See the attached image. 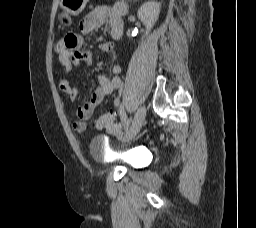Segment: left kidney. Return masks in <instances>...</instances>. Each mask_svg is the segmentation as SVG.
I'll return each instance as SVG.
<instances>
[{
	"label": "left kidney",
	"instance_id": "obj_1",
	"mask_svg": "<svg viewBox=\"0 0 256 228\" xmlns=\"http://www.w3.org/2000/svg\"><path fill=\"white\" fill-rule=\"evenodd\" d=\"M161 4L155 1L145 2L138 10V18L146 27L147 35L158 20Z\"/></svg>",
	"mask_w": 256,
	"mask_h": 228
}]
</instances>
